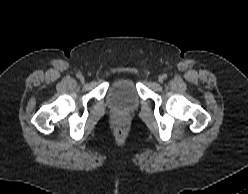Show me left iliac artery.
I'll return each instance as SVG.
<instances>
[{"mask_svg": "<svg viewBox=\"0 0 248 194\" xmlns=\"http://www.w3.org/2000/svg\"><path fill=\"white\" fill-rule=\"evenodd\" d=\"M162 77H163L164 79H166V78H167V74H163Z\"/></svg>", "mask_w": 248, "mask_h": 194, "instance_id": "44dca946", "label": "left iliac artery"}]
</instances>
